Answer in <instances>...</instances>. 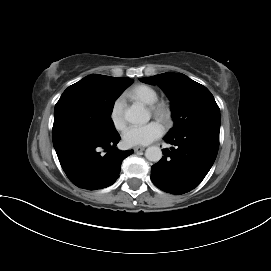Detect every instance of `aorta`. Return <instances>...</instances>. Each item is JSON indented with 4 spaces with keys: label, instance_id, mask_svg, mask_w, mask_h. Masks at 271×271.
Instances as JSON below:
<instances>
[{
    "label": "aorta",
    "instance_id": "aorta-1",
    "mask_svg": "<svg viewBox=\"0 0 271 271\" xmlns=\"http://www.w3.org/2000/svg\"><path fill=\"white\" fill-rule=\"evenodd\" d=\"M124 118L132 124H145L150 120V113L141 104H133L125 110ZM145 157L152 162H158L162 158V151L157 146L148 147Z\"/></svg>",
    "mask_w": 271,
    "mask_h": 271
}]
</instances>
